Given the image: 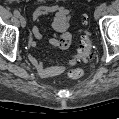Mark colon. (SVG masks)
Returning <instances> with one entry per match:
<instances>
[{
	"label": "colon",
	"mask_w": 119,
	"mask_h": 119,
	"mask_svg": "<svg viewBox=\"0 0 119 119\" xmlns=\"http://www.w3.org/2000/svg\"><path fill=\"white\" fill-rule=\"evenodd\" d=\"M91 43L87 33L82 35L81 44L78 49V59L85 60L90 54ZM83 76V71L80 68H74L67 72V77L72 80L80 79Z\"/></svg>",
	"instance_id": "5ec220e1"
}]
</instances>
